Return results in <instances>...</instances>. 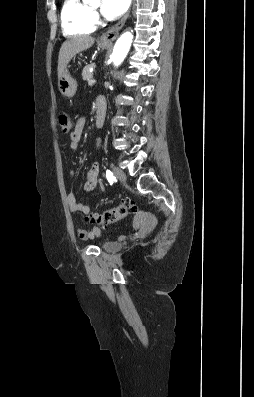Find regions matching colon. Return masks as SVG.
<instances>
[{
  "mask_svg": "<svg viewBox=\"0 0 254 397\" xmlns=\"http://www.w3.org/2000/svg\"><path fill=\"white\" fill-rule=\"evenodd\" d=\"M58 121L62 132L68 133L71 129V122L67 114L61 113L59 115ZM137 209L138 208L135 202L127 201L101 213H93L89 216V220L102 226H107L117 223L126 216L137 212Z\"/></svg>",
  "mask_w": 254,
  "mask_h": 397,
  "instance_id": "5ec220e1",
  "label": "colon"
}]
</instances>
